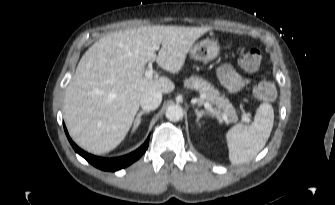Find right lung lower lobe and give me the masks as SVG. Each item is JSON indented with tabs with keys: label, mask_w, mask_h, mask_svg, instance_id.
<instances>
[{
	"label": "right lung lower lobe",
	"mask_w": 335,
	"mask_h": 205,
	"mask_svg": "<svg viewBox=\"0 0 335 205\" xmlns=\"http://www.w3.org/2000/svg\"><path fill=\"white\" fill-rule=\"evenodd\" d=\"M64 130H65L66 136H67L69 142L71 143L72 147L74 148V150L78 154H80L82 157H84L89 163H91L95 167H97L101 170H105V171H116V170H119L121 168L129 166L130 164L135 162L137 159H139L148 148L149 137L147 138V140L144 142V144L140 148H138L134 152H132L130 154H127L125 156L118 157V158H111V159L96 157V156H93V155L88 154L85 151L81 150L71 140V138L68 135V132H67V129H66L65 125H64Z\"/></svg>",
	"instance_id": "obj_1"
}]
</instances>
